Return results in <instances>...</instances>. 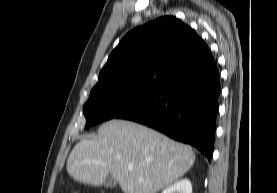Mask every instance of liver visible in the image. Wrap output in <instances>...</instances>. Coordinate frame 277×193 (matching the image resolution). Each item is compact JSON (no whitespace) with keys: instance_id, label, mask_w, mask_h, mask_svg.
Instances as JSON below:
<instances>
[{"instance_id":"obj_1","label":"liver","mask_w":277,"mask_h":193,"mask_svg":"<svg viewBox=\"0 0 277 193\" xmlns=\"http://www.w3.org/2000/svg\"><path fill=\"white\" fill-rule=\"evenodd\" d=\"M194 161L190 146L135 122L113 119L99 127L97 137L75 145L67 172L85 184L99 186L111 176L124 193H156L182 177Z\"/></svg>"}]
</instances>
